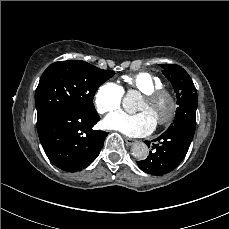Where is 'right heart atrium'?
Returning a JSON list of instances; mask_svg holds the SVG:
<instances>
[{
    "instance_id": "d8ad5b80",
    "label": "right heart atrium",
    "mask_w": 229,
    "mask_h": 229,
    "mask_svg": "<svg viewBox=\"0 0 229 229\" xmlns=\"http://www.w3.org/2000/svg\"><path fill=\"white\" fill-rule=\"evenodd\" d=\"M123 95L121 86L106 81L96 89L93 95V105L99 113H109L120 108Z\"/></svg>"
}]
</instances>
